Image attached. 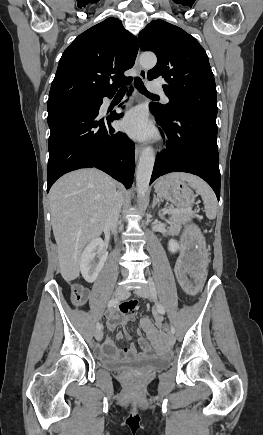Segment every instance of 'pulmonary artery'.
Masks as SVG:
<instances>
[{
    "label": "pulmonary artery",
    "instance_id": "e3ab8cb5",
    "mask_svg": "<svg viewBox=\"0 0 263 435\" xmlns=\"http://www.w3.org/2000/svg\"><path fill=\"white\" fill-rule=\"evenodd\" d=\"M147 86L149 91L152 93H159V94L163 93L162 87L157 82L154 81L148 82ZM163 100L165 102H168V98L165 95H163Z\"/></svg>",
    "mask_w": 263,
    "mask_h": 435
}]
</instances>
